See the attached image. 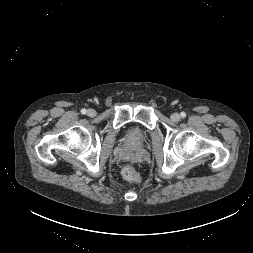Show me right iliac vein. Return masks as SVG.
<instances>
[{"label":"right iliac vein","mask_w":253,"mask_h":253,"mask_svg":"<svg viewBox=\"0 0 253 253\" xmlns=\"http://www.w3.org/2000/svg\"><path fill=\"white\" fill-rule=\"evenodd\" d=\"M87 115L90 117H94L96 115V111L94 109H89L87 111Z\"/></svg>","instance_id":"obj_1"}]
</instances>
